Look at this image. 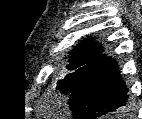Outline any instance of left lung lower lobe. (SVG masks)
<instances>
[{
	"instance_id": "obj_1",
	"label": "left lung lower lobe",
	"mask_w": 142,
	"mask_h": 119,
	"mask_svg": "<svg viewBox=\"0 0 142 119\" xmlns=\"http://www.w3.org/2000/svg\"><path fill=\"white\" fill-rule=\"evenodd\" d=\"M127 92L117 63L106 56L70 93L69 107L76 119H97L125 107Z\"/></svg>"
}]
</instances>
